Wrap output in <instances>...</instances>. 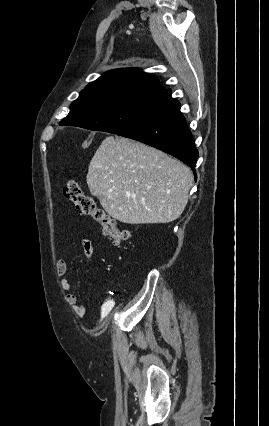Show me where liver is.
Segmentation results:
<instances>
[{
  "label": "liver",
  "mask_w": 269,
  "mask_h": 426,
  "mask_svg": "<svg viewBox=\"0 0 269 426\" xmlns=\"http://www.w3.org/2000/svg\"><path fill=\"white\" fill-rule=\"evenodd\" d=\"M192 183L186 165L125 137H106L87 174L91 194L109 216L127 224L176 220L186 207Z\"/></svg>",
  "instance_id": "liver-1"
}]
</instances>
